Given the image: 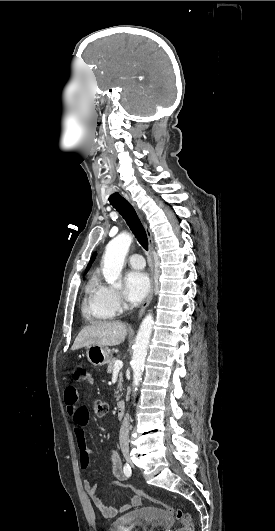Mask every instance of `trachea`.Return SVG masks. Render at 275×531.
<instances>
[{"mask_svg": "<svg viewBox=\"0 0 275 531\" xmlns=\"http://www.w3.org/2000/svg\"><path fill=\"white\" fill-rule=\"evenodd\" d=\"M110 204L121 214L125 219L132 233L135 235L141 246L148 250V239L146 231L141 224L133 206L118 192L113 193L109 197Z\"/></svg>", "mask_w": 275, "mask_h": 531, "instance_id": "trachea-1", "label": "trachea"}]
</instances>
